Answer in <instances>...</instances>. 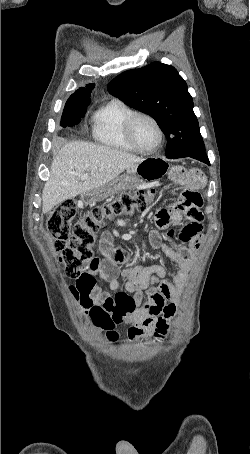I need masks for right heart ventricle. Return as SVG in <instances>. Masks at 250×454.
<instances>
[{
    "label": "right heart ventricle",
    "mask_w": 250,
    "mask_h": 454,
    "mask_svg": "<svg viewBox=\"0 0 250 454\" xmlns=\"http://www.w3.org/2000/svg\"><path fill=\"white\" fill-rule=\"evenodd\" d=\"M135 111L124 102L113 99L102 105L92 117V136L98 143L115 150L135 152L125 135L127 119Z\"/></svg>",
    "instance_id": "1"
}]
</instances>
